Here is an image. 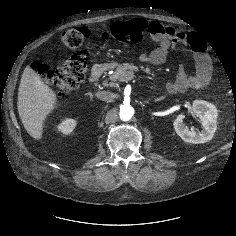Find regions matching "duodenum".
<instances>
[{"label": "duodenum", "mask_w": 236, "mask_h": 236, "mask_svg": "<svg viewBox=\"0 0 236 236\" xmlns=\"http://www.w3.org/2000/svg\"><path fill=\"white\" fill-rule=\"evenodd\" d=\"M108 64L107 63H97L93 66L90 76H89V82L90 83H96L102 74L107 70Z\"/></svg>", "instance_id": "1"}]
</instances>
